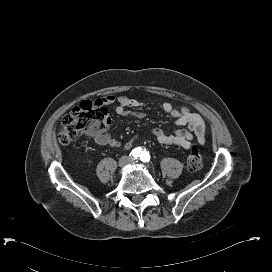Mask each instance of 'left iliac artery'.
I'll return each mask as SVG.
<instances>
[{
    "label": "left iliac artery",
    "mask_w": 272,
    "mask_h": 272,
    "mask_svg": "<svg viewBox=\"0 0 272 272\" xmlns=\"http://www.w3.org/2000/svg\"><path fill=\"white\" fill-rule=\"evenodd\" d=\"M140 159L141 161L143 162H149L150 160V155L147 151L143 150L141 151V154H140Z\"/></svg>",
    "instance_id": "1"
}]
</instances>
